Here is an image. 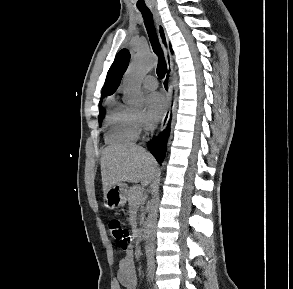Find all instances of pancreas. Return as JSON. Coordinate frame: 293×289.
<instances>
[{
    "label": "pancreas",
    "instance_id": "cf45deb5",
    "mask_svg": "<svg viewBox=\"0 0 293 289\" xmlns=\"http://www.w3.org/2000/svg\"><path fill=\"white\" fill-rule=\"evenodd\" d=\"M127 200L130 210H137L144 203L142 190L138 186L131 187L127 194ZM143 220V215L140 216V222Z\"/></svg>",
    "mask_w": 293,
    "mask_h": 289
}]
</instances>
